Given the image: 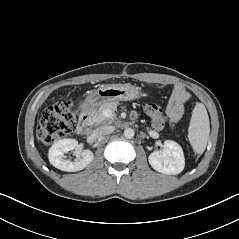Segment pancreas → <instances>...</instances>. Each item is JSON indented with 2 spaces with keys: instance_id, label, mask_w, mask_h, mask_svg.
<instances>
[{
  "instance_id": "1",
  "label": "pancreas",
  "mask_w": 239,
  "mask_h": 239,
  "mask_svg": "<svg viewBox=\"0 0 239 239\" xmlns=\"http://www.w3.org/2000/svg\"><path fill=\"white\" fill-rule=\"evenodd\" d=\"M117 102H109V103H106L104 105H102L98 111L95 113V115L93 116V120L95 123H105V124H108V123H111L113 121V117L114 115H112L111 117H105L104 116V111L107 110V109H110L112 111H115L116 108H117Z\"/></svg>"
}]
</instances>
